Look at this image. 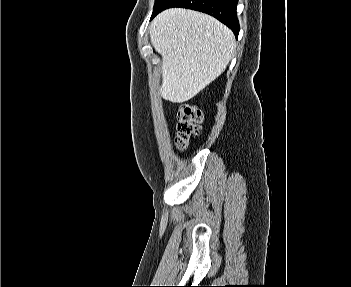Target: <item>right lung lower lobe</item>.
<instances>
[{"mask_svg": "<svg viewBox=\"0 0 351 287\" xmlns=\"http://www.w3.org/2000/svg\"><path fill=\"white\" fill-rule=\"evenodd\" d=\"M171 7H183L207 13L225 25L238 36L239 23L236 16L237 0H161L154 8L151 19L159 12Z\"/></svg>", "mask_w": 351, "mask_h": 287, "instance_id": "98d812e1", "label": "right lung lower lobe"}]
</instances>
